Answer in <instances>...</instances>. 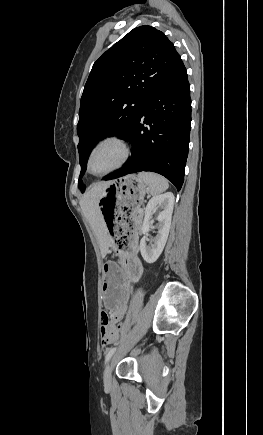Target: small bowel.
<instances>
[{
  "mask_svg": "<svg viewBox=\"0 0 263 435\" xmlns=\"http://www.w3.org/2000/svg\"><path fill=\"white\" fill-rule=\"evenodd\" d=\"M130 257H131V261H133L134 264H138V267H134V269H140L142 272V265L138 257L137 251L133 250ZM111 311H112V321H104L103 323L104 330H107L109 333V336H106V341H103L101 343V348L103 350H110L113 347V344L111 342L118 339L120 334V329H117V324L118 321H120L124 317L127 311V305H120L118 310H111Z\"/></svg>",
  "mask_w": 263,
  "mask_h": 435,
  "instance_id": "1",
  "label": "small bowel"
}]
</instances>
